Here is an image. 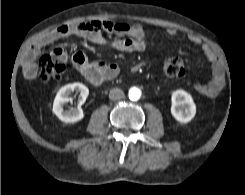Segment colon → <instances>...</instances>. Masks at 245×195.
Wrapping results in <instances>:
<instances>
[{"mask_svg": "<svg viewBox=\"0 0 245 195\" xmlns=\"http://www.w3.org/2000/svg\"><path fill=\"white\" fill-rule=\"evenodd\" d=\"M40 78L44 82L61 81L65 74V60L44 55L39 60ZM167 79L177 80L185 73L184 63L179 57L168 58L163 64Z\"/></svg>", "mask_w": 245, "mask_h": 195, "instance_id": "colon-1", "label": "colon"}]
</instances>
